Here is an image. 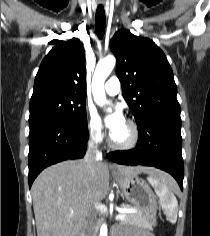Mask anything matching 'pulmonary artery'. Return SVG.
Here are the masks:
<instances>
[{
    "instance_id": "pulmonary-artery-1",
    "label": "pulmonary artery",
    "mask_w": 210,
    "mask_h": 236,
    "mask_svg": "<svg viewBox=\"0 0 210 236\" xmlns=\"http://www.w3.org/2000/svg\"><path fill=\"white\" fill-rule=\"evenodd\" d=\"M104 90L109 95H116L120 91V82L117 77H111L104 85Z\"/></svg>"
}]
</instances>
